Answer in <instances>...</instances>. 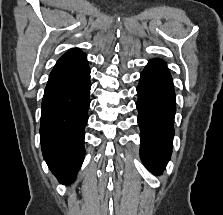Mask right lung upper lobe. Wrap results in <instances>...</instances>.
<instances>
[{"label": "right lung upper lobe", "mask_w": 223, "mask_h": 215, "mask_svg": "<svg viewBox=\"0 0 223 215\" xmlns=\"http://www.w3.org/2000/svg\"><path fill=\"white\" fill-rule=\"evenodd\" d=\"M86 54L79 49H71L57 61L50 73L47 84H53L74 78L88 69Z\"/></svg>", "instance_id": "right-lung-upper-lobe-1"}]
</instances>
